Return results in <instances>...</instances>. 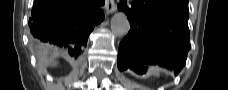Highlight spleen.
Here are the masks:
<instances>
[{
  "mask_svg": "<svg viewBox=\"0 0 228 90\" xmlns=\"http://www.w3.org/2000/svg\"><path fill=\"white\" fill-rule=\"evenodd\" d=\"M149 72L153 75L159 76L161 68H159L158 66H152L149 68Z\"/></svg>",
  "mask_w": 228,
  "mask_h": 90,
  "instance_id": "1",
  "label": "spleen"
}]
</instances>
